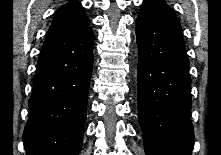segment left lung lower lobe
Here are the masks:
<instances>
[{
    "mask_svg": "<svg viewBox=\"0 0 221 155\" xmlns=\"http://www.w3.org/2000/svg\"><path fill=\"white\" fill-rule=\"evenodd\" d=\"M136 38L138 117L146 155H191V78L179 20L142 4Z\"/></svg>",
    "mask_w": 221,
    "mask_h": 155,
    "instance_id": "0a47b994",
    "label": "left lung lower lobe"
}]
</instances>
